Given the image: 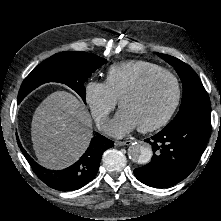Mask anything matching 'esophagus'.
I'll use <instances>...</instances> for the list:
<instances>
[{
	"instance_id": "esophagus-1",
	"label": "esophagus",
	"mask_w": 221,
	"mask_h": 221,
	"mask_svg": "<svg viewBox=\"0 0 221 221\" xmlns=\"http://www.w3.org/2000/svg\"><path fill=\"white\" fill-rule=\"evenodd\" d=\"M133 140H126V141H116V146H126L132 144Z\"/></svg>"
}]
</instances>
